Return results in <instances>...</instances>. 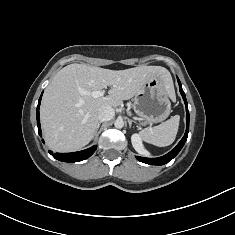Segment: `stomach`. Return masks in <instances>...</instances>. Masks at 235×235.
<instances>
[{"mask_svg":"<svg viewBox=\"0 0 235 235\" xmlns=\"http://www.w3.org/2000/svg\"><path fill=\"white\" fill-rule=\"evenodd\" d=\"M169 93L159 76L149 80L133 99L134 110L141 124L164 121L171 113Z\"/></svg>","mask_w":235,"mask_h":235,"instance_id":"obj_1","label":"stomach"}]
</instances>
